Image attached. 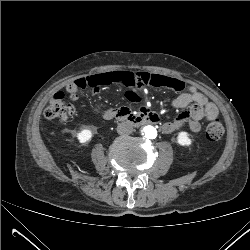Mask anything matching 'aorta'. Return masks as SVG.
<instances>
[{
    "mask_svg": "<svg viewBox=\"0 0 250 250\" xmlns=\"http://www.w3.org/2000/svg\"><path fill=\"white\" fill-rule=\"evenodd\" d=\"M141 132L147 139H155L157 137V130L151 125L143 127Z\"/></svg>",
    "mask_w": 250,
    "mask_h": 250,
    "instance_id": "762f6f07",
    "label": "aorta"
}]
</instances>
